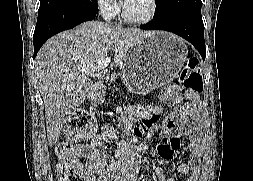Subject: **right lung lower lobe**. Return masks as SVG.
<instances>
[{"label":"right lung lower lobe","instance_id":"obj_1","mask_svg":"<svg viewBox=\"0 0 253 181\" xmlns=\"http://www.w3.org/2000/svg\"><path fill=\"white\" fill-rule=\"evenodd\" d=\"M98 9L83 4L68 5L38 14L33 35L34 58L41 46L53 35L96 17Z\"/></svg>","mask_w":253,"mask_h":181}]
</instances>
